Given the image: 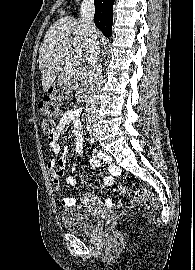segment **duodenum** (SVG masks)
Returning <instances> with one entry per match:
<instances>
[{
	"label": "duodenum",
	"mask_w": 195,
	"mask_h": 270,
	"mask_svg": "<svg viewBox=\"0 0 195 270\" xmlns=\"http://www.w3.org/2000/svg\"><path fill=\"white\" fill-rule=\"evenodd\" d=\"M73 73H74L73 66L71 64H67L64 70L65 77L70 78L73 76ZM89 90H90V87L88 85L80 89V91L78 92V98L80 101L85 102L88 100Z\"/></svg>",
	"instance_id": "1"
}]
</instances>
